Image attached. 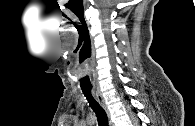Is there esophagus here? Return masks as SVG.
I'll return each mask as SVG.
<instances>
[{"mask_svg":"<svg viewBox=\"0 0 195 126\" xmlns=\"http://www.w3.org/2000/svg\"><path fill=\"white\" fill-rule=\"evenodd\" d=\"M92 92H93V95H94L96 101L103 107V109L105 110V112L107 113V115L109 117L110 113H109L107 104L102 96L100 89L98 87L93 88Z\"/></svg>","mask_w":195,"mask_h":126,"instance_id":"34e87169","label":"esophagus"}]
</instances>
